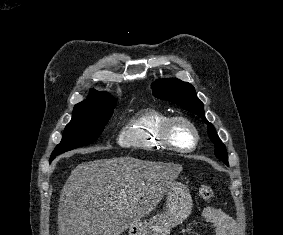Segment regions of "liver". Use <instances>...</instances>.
I'll return each mask as SVG.
<instances>
[{
	"label": "liver",
	"mask_w": 283,
	"mask_h": 235,
	"mask_svg": "<svg viewBox=\"0 0 283 235\" xmlns=\"http://www.w3.org/2000/svg\"><path fill=\"white\" fill-rule=\"evenodd\" d=\"M181 171L130 156L79 164L61 191L59 235H121L155 209Z\"/></svg>",
	"instance_id": "liver-1"
}]
</instances>
